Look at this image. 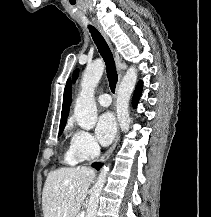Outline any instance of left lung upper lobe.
Returning <instances> with one entry per match:
<instances>
[{
	"mask_svg": "<svg viewBox=\"0 0 211 217\" xmlns=\"http://www.w3.org/2000/svg\"><path fill=\"white\" fill-rule=\"evenodd\" d=\"M78 76V70H75L73 73V81L75 82V80L77 79Z\"/></svg>",
	"mask_w": 211,
	"mask_h": 217,
	"instance_id": "obj_1",
	"label": "left lung upper lobe"
}]
</instances>
